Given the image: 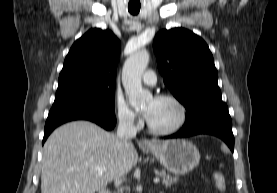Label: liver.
I'll use <instances>...</instances> for the list:
<instances>
[{
	"mask_svg": "<svg viewBox=\"0 0 277 193\" xmlns=\"http://www.w3.org/2000/svg\"><path fill=\"white\" fill-rule=\"evenodd\" d=\"M137 161L132 142L88 121L70 122L44 145L41 193H95L126 175ZM94 167L107 170L99 173Z\"/></svg>",
	"mask_w": 277,
	"mask_h": 193,
	"instance_id": "liver-1",
	"label": "liver"
}]
</instances>
